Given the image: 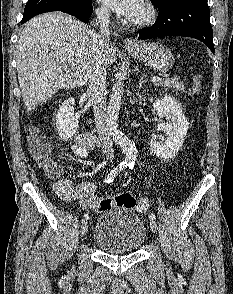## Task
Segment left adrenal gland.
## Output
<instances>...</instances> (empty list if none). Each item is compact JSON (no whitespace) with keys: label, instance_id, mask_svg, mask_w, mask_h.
Masks as SVG:
<instances>
[{"label":"left adrenal gland","instance_id":"a2214340","mask_svg":"<svg viewBox=\"0 0 233 294\" xmlns=\"http://www.w3.org/2000/svg\"><path fill=\"white\" fill-rule=\"evenodd\" d=\"M147 80H146V78H145V74H141V77H140V80H139V88H141L142 87V84L144 83V82H146Z\"/></svg>","mask_w":233,"mask_h":294}]
</instances>
